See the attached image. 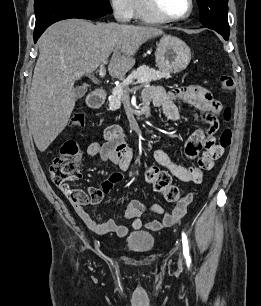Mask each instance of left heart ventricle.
I'll use <instances>...</instances> for the list:
<instances>
[{"label":"left heart ventricle","mask_w":261,"mask_h":306,"mask_svg":"<svg viewBox=\"0 0 261 306\" xmlns=\"http://www.w3.org/2000/svg\"><path fill=\"white\" fill-rule=\"evenodd\" d=\"M162 12L170 17L184 15L189 8L188 0H157Z\"/></svg>","instance_id":"obj_1"}]
</instances>
